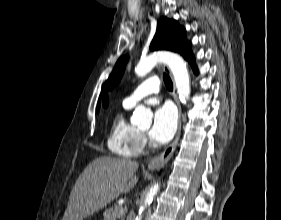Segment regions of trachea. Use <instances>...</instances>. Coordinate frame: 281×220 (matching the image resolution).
<instances>
[{"instance_id":"3493384b","label":"trachea","mask_w":281,"mask_h":220,"mask_svg":"<svg viewBox=\"0 0 281 220\" xmlns=\"http://www.w3.org/2000/svg\"><path fill=\"white\" fill-rule=\"evenodd\" d=\"M164 83L169 91L173 90V83L167 74L163 75Z\"/></svg>"}]
</instances>
